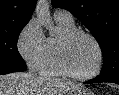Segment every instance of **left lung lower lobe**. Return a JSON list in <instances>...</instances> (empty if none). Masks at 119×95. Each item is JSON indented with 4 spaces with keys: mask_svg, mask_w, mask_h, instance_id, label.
Masks as SVG:
<instances>
[{
    "mask_svg": "<svg viewBox=\"0 0 119 95\" xmlns=\"http://www.w3.org/2000/svg\"><path fill=\"white\" fill-rule=\"evenodd\" d=\"M96 82H113L119 84V78L105 79V78H101L100 76H97L95 79L88 81V83H96Z\"/></svg>",
    "mask_w": 119,
    "mask_h": 95,
    "instance_id": "left-lung-lower-lobe-1",
    "label": "left lung lower lobe"
}]
</instances>
